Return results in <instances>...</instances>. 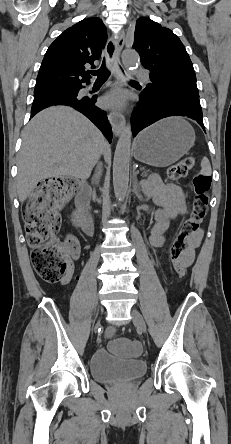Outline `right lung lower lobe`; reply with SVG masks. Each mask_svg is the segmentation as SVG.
I'll list each match as a JSON object with an SVG mask.
<instances>
[{"mask_svg": "<svg viewBox=\"0 0 231 444\" xmlns=\"http://www.w3.org/2000/svg\"><path fill=\"white\" fill-rule=\"evenodd\" d=\"M82 87V85H78V90L75 91L54 90L34 94L31 117L49 106H71L87 116L111 142L112 130L106 112L95 106L96 96L81 97L78 95Z\"/></svg>", "mask_w": 231, "mask_h": 444, "instance_id": "1", "label": "right lung lower lobe"}]
</instances>
